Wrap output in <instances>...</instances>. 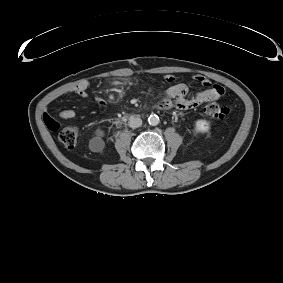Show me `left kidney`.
I'll list each match as a JSON object with an SVG mask.
<instances>
[{
  "label": "left kidney",
  "instance_id": "1",
  "mask_svg": "<svg viewBox=\"0 0 283 283\" xmlns=\"http://www.w3.org/2000/svg\"><path fill=\"white\" fill-rule=\"evenodd\" d=\"M195 129L198 132H207L210 129V125L206 120H197L195 123Z\"/></svg>",
  "mask_w": 283,
  "mask_h": 283
}]
</instances>
